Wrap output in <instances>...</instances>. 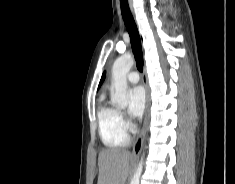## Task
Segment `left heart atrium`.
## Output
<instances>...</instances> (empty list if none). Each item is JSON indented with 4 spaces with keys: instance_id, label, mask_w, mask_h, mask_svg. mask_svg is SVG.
<instances>
[{
    "instance_id": "39dd6f15",
    "label": "left heart atrium",
    "mask_w": 235,
    "mask_h": 184,
    "mask_svg": "<svg viewBox=\"0 0 235 184\" xmlns=\"http://www.w3.org/2000/svg\"><path fill=\"white\" fill-rule=\"evenodd\" d=\"M146 96L141 87H135L130 92L129 113L133 119L140 118L145 109Z\"/></svg>"
}]
</instances>
